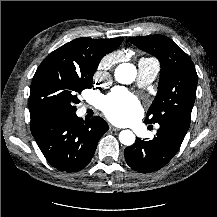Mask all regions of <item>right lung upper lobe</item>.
I'll list each match as a JSON object with an SVG mask.
<instances>
[{"label": "right lung upper lobe", "mask_w": 217, "mask_h": 217, "mask_svg": "<svg viewBox=\"0 0 217 217\" xmlns=\"http://www.w3.org/2000/svg\"><path fill=\"white\" fill-rule=\"evenodd\" d=\"M123 38H77L50 53L45 61H56L77 70H95L103 56L114 51Z\"/></svg>", "instance_id": "right-lung-upper-lobe-1"}]
</instances>
